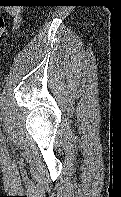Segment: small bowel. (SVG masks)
<instances>
[{"instance_id": "1", "label": "small bowel", "mask_w": 121, "mask_h": 197, "mask_svg": "<svg viewBox=\"0 0 121 197\" xmlns=\"http://www.w3.org/2000/svg\"><path fill=\"white\" fill-rule=\"evenodd\" d=\"M8 16L11 20L13 28H17L21 23V9L18 6H10L7 8Z\"/></svg>"}]
</instances>
